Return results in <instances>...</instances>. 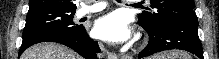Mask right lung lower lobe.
I'll list each match as a JSON object with an SVG mask.
<instances>
[{
    "instance_id": "obj_1",
    "label": "right lung lower lobe",
    "mask_w": 219,
    "mask_h": 59,
    "mask_svg": "<svg viewBox=\"0 0 219 59\" xmlns=\"http://www.w3.org/2000/svg\"><path fill=\"white\" fill-rule=\"evenodd\" d=\"M40 42H56L63 44L87 59H96V53L100 52L98 43L87 35L86 29L82 26L77 32L49 31L23 38L19 56L28 47Z\"/></svg>"
}]
</instances>
